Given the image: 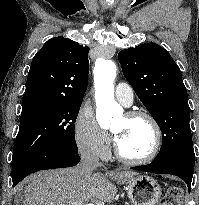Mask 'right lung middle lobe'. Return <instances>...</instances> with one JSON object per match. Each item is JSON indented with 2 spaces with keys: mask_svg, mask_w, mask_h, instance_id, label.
<instances>
[{
  "mask_svg": "<svg viewBox=\"0 0 199 205\" xmlns=\"http://www.w3.org/2000/svg\"><path fill=\"white\" fill-rule=\"evenodd\" d=\"M80 106L81 104H52L22 111L12 163L49 149L76 154L78 148L74 123Z\"/></svg>",
  "mask_w": 199,
  "mask_h": 205,
  "instance_id": "obj_1",
  "label": "right lung middle lobe"
}]
</instances>
